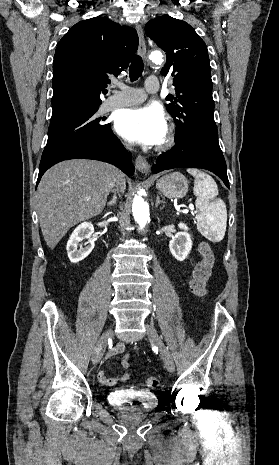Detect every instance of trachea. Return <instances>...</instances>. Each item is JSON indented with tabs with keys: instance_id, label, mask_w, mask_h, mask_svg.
Listing matches in <instances>:
<instances>
[{
	"instance_id": "trachea-1",
	"label": "trachea",
	"mask_w": 279,
	"mask_h": 465,
	"mask_svg": "<svg viewBox=\"0 0 279 465\" xmlns=\"http://www.w3.org/2000/svg\"><path fill=\"white\" fill-rule=\"evenodd\" d=\"M144 68L143 60L140 56H136L129 67V76L131 81H136L142 74Z\"/></svg>"
}]
</instances>
